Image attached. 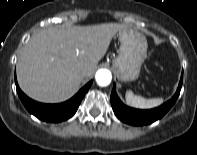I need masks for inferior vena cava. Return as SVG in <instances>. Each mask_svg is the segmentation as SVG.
<instances>
[{
    "label": "inferior vena cava",
    "instance_id": "inferior-vena-cava-1",
    "mask_svg": "<svg viewBox=\"0 0 197 155\" xmlns=\"http://www.w3.org/2000/svg\"><path fill=\"white\" fill-rule=\"evenodd\" d=\"M85 74H86V71H85V70H82V71H81V75L84 76Z\"/></svg>",
    "mask_w": 197,
    "mask_h": 155
}]
</instances>
